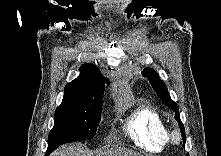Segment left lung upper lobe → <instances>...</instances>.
I'll list each match as a JSON object with an SVG mask.
<instances>
[{"label":"left lung upper lobe","mask_w":221,"mask_h":156,"mask_svg":"<svg viewBox=\"0 0 221 156\" xmlns=\"http://www.w3.org/2000/svg\"><path fill=\"white\" fill-rule=\"evenodd\" d=\"M143 74L148 78L151 86L153 87L159 98L176 113V118H179L180 116L177 104L172 101L165 84L160 79L157 72L154 71L152 68L147 67L144 69Z\"/></svg>","instance_id":"1"}]
</instances>
